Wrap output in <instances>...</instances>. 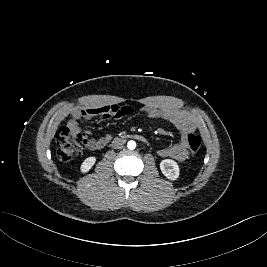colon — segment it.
Segmentation results:
<instances>
[{"instance_id":"obj_1","label":"colon","mask_w":267,"mask_h":267,"mask_svg":"<svg viewBox=\"0 0 267 267\" xmlns=\"http://www.w3.org/2000/svg\"><path fill=\"white\" fill-rule=\"evenodd\" d=\"M89 133L79 126L66 125L61 127L55 135L57 157L61 161H69L87 144ZM188 148L192 153H197L202 145L199 135L190 134L187 138Z\"/></svg>"}]
</instances>
